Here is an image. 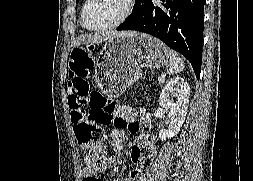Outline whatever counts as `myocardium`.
Wrapping results in <instances>:
<instances>
[{
    "mask_svg": "<svg viewBox=\"0 0 253 181\" xmlns=\"http://www.w3.org/2000/svg\"><path fill=\"white\" fill-rule=\"evenodd\" d=\"M91 1L92 0H85V3L83 4L82 10H81V24L86 30L93 31V32L106 31V30H110L122 25L131 16L134 9V4H135V0H126L125 11L119 19H117L116 21L108 25H105L99 28H93V27L88 26L85 20L86 10Z\"/></svg>",
    "mask_w": 253,
    "mask_h": 181,
    "instance_id": "1",
    "label": "myocardium"
}]
</instances>
